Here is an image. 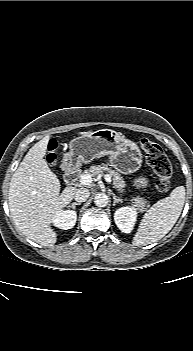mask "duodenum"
I'll use <instances>...</instances> for the list:
<instances>
[{
	"label": "duodenum",
	"instance_id": "duodenum-1",
	"mask_svg": "<svg viewBox=\"0 0 193 351\" xmlns=\"http://www.w3.org/2000/svg\"><path fill=\"white\" fill-rule=\"evenodd\" d=\"M63 169L66 185L73 187L79 174V165L76 159L72 156L66 157L63 162Z\"/></svg>",
	"mask_w": 193,
	"mask_h": 351
}]
</instances>
